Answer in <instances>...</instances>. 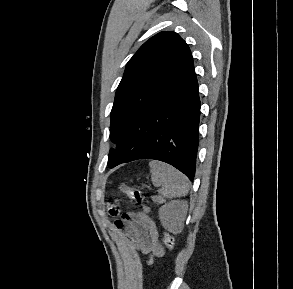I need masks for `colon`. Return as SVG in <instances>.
Returning a JSON list of instances; mask_svg holds the SVG:
<instances>
[{"label":"colon","instance_id":"colon-1","mask_svg":"<svg viewBox=\"0 0 293 289\" xmlns=\"http://www.w3.org/2000/svg\"><path fill=\"white\" fill-rule=\"evenodd\" d=\"M119 189H120L121 192H123L126 195H128L136 203H141L144 200V194L139 189H136V188L131 187V186L126 185V184H121L119 186ZM109 213L111 215L116 216L119 213V209L116 206H110L109 207ZM163 241H164L165 246L169 250H172L174 248V246H175V239H174V237L170 233L164 232Z\"/></svg>","mask_w":293,"mask_h":289}]
</instances>
